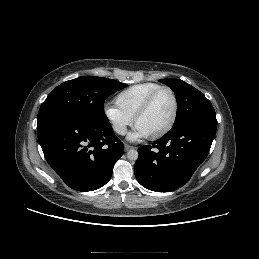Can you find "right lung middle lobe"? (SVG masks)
Here are the masks:
<instances>
[{"label": "right lung middle lobe", "instance_id": "right-lung-middle-lobe-1", "mask_svg": "<svg viewBox=\"0 0 259 259\" xmlns=\"http://www.w3.org/2000/svg\"><path fill=\"white\" fill-rule=\"evenodd\" d=\"M127 84L96 76H83L57 86L42 103L38 123L57 115L71 114L91 121L108 122L104 102Z\"/></svg>", "mask_w": 259, "mask_h": 259}]
</instances>
